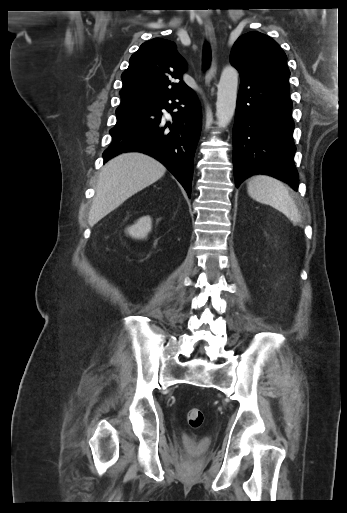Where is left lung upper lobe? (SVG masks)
I'll use <instances>...</instances> for the list:
<instances>
[{"label":"left lung upper lobe","mask_w":347,"mask_h":513,"mask_svg":"<svg viewBox=\"0 0 347 513\" xmlns=\"http://www.w3.org/2000/svg\"><path fill=\"white\" fill-rule=\"evenodd\" d=\"M230 63L240 76L254 79H287V57L277 42L260 32H249L235 42Z\"/></svg>","instance_id":"obj_1"}]
</instances>
